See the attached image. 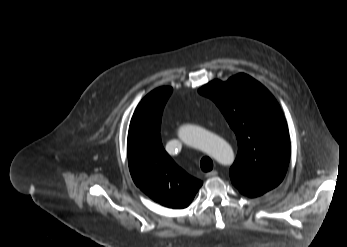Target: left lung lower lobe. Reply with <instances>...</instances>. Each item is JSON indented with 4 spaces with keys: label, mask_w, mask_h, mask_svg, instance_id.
Segmentation results:
<instances>
[{
    "label": "left lung lower lobe",
    "mask_w": 347,
    "mask_h": 247,
    "mask_svg": "<svg viewBox=\"0 0 347 247\" xmlns=\"http://www.w3.org/2000/svg\"><path fill=\"white\" fill-rule=\"evenodd\" d=\"M238 190L244 194V195H247L248 197H257V196H260L264 193H261V192H258V191H252V190H249V189H244V188H238Z\"/></svg>",
    "instance_id": "1"
}]
</instances>
